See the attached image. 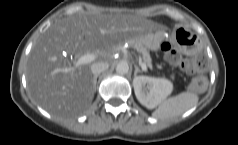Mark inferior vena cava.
Returning a JSON list of instances; mask_svg holds the SVG:
<instances>
[{
    "label": "inferior vena cava",
    "instance_id": "602c4592",
    "mask_svg": "<svg viewBox=\"0 0 238 145\" xmlns=\"http://www.w3.org/2000/svg\"><path fill=\"white\" fill-rule=\"evenodd\" d=\"M108 68L109 64L107 62H96L91 65V72L96 76L106 71Z\"/></svg>",
    "mask_w": 238,
    "mask_h": 145
}]
</instances>
